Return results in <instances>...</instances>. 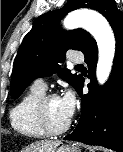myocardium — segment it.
<instances>
[{
	"label": "myocardium",
	"instance_id": "obj_1",
	"mask_svg": "<svg viewBox=\"0 0 123 152\" xmlns=\"http://www.w3.org/2000/svg\"><path fill=\"white\" fill-rule=\"evenodd\" d=\"M56 98H59V96L55 93L44 94L36 106V118L40 127L47 135L52 136L64 133L71 126V118L60 127H55L50 122L48 115V104L51 100Z\"/></svg>",
	"mask_w": 123,
	"mask_h": 152
}]
</instances>
